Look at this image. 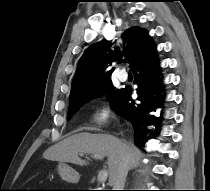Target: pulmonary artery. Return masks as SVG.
I'll list each match as a JSON object with an SVG mask.
<instances>
[{"label":"pulmonary artery","mask_w":210,"mask_h":191,"mask_svg":"<svg viewBox=\"0 0 210 191\" xmlns=\"http://www.w3.org/2000/svg\"><path fill=\"white\" fill-rule=\"evenodd\" d=\"M118 78H119L120 81H123V82H124V81L127 80L128 75H127L126 72L121 71V72H119V74H118Z\"/></svg>","instance_id":"e3ab8cb5"}]
</instances>
